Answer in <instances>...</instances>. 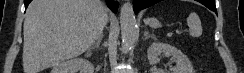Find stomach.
<instances>
[{
    "label": "stomach",
    "instance_id": "1",
    "mask_svg": "<svg viewBox=\"0 0 244 73\" xmlns=\"http://www.w3.org/2000/svg\"><path fill=\"white\" fill-rule=\"evenodd\" d=\"M145 24L149 25L152 28L161 27V23L156 18H147V19H145Z\"/></svg>",
    "mask_w": 244,
    "mask_h": 73
}]
</instances>
